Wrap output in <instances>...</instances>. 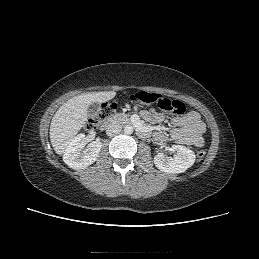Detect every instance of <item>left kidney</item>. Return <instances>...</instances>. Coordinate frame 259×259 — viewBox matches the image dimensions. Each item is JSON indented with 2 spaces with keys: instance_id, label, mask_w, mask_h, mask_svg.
Here are the masks:
<instances>
[{
  "instance_id": "5707ae66",
  "label": "left kidney",
  "mask_w": 259,
  "mask_h": 259,
  "mask_svg": "<svg viewBox=\"0 0 259 259\" xmlns=\"http://www.w3.org/2000/svg\"><path fill=\"white\" fill-rule=\"evenodd\" d=\"M173 151L177 152L175 158L167 157L163 153H158L154 157L156 167L165 173H183L190 168L196 159L195 153L182 145H172Z\"/></svg>"
}]
</instances>
